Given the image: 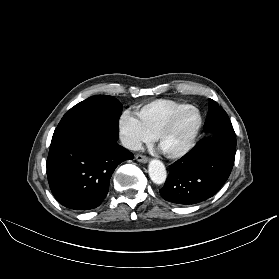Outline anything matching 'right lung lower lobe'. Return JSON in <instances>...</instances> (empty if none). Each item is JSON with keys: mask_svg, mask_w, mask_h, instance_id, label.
<instances>
[{"mask_svg": "<svg viewBox=\"0 0 279 279\" xmlns=\"http://www.w3.org/2000/svg\"><path fill=\"white\" fill-rule=\"evenodd\" d=\"M117 140V126L104 123L51 141L47 177L60 204L89 210L102 203L115 168L134 158Z\"/></svg>", "mask_w": 279, "mask_h": 279, "instance_id": "right-lung-lower-lobe-1", "label": "right lung lower lobe"}]
</instances>
